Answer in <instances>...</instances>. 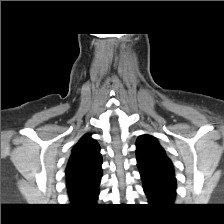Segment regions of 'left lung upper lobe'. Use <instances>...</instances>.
Returning a JSON list of instances; mask_svg holds the SVG:
<instances>
[{
    "label": "left lung upper lobe",
    "mask_w": 224,
    "mask_h": 224,
    "mask_svg": "<svg viewBox=\"0 0 224 224\" xmlns=\"http://www.w3.org/2000/svg\"><path fill=\"white\" fill-rule=\"evenodd\" d=\"M136 146L140 172L174 176L173 164L156 138L151 135H141L137 139Z\"/></svg>",
    "instance_id": "obj_1"
}]
</instances>
